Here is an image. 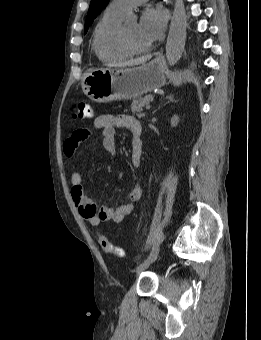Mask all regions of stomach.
<instances>
[{"instance_id":"1","label":"stomach","mask_w":261,"mask_h":340,"mask_svg":"<svg viewBox=\"0 0 261 340\" xmlns=\"http://www.w3.org/2000/svg\"><path fill=\"white\" fill-rule=\"evenodd\" d=\"M165 62L156 58L139 67L96 69L84 74L82 89L98 103L135 99L166 83Z\"/></svg>"}]
</instances>
